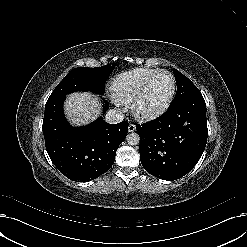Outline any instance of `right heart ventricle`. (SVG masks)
<instances>
[{"instance_id": "1", "label": "right heart ventricle", "mask_w": 247, "mask_h": 247, "mask_svg": "<svg viewBox=\"0 0 247 247\" xmlns=\"http://www.w3.org/2000/svg\"><path fill=\"white\" fill-rule=\"evenodd\" d=\"M157 68L139 67L119 74L112 84L114 98L121 104H126L137 94L144 82Z\"/></svg>"}]
</instances>
